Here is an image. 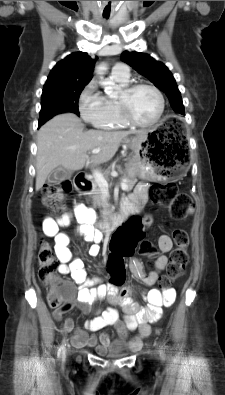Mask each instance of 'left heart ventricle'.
I'll list each match as a JSON object with an SVG mask.
<instances>
[{"label":"left heart ventricle","instance_id":"left-heart-ventricle-1","mask_svg":"<svg viewBox=\"0 0 225 395\" xmlns=\"http://www.w3.org/2000/svg\"><path fill=\"white\" fill-rule=\"evenodd\" d=\"M129 110L136 121L142 123L151 122L159 111L158 98L150 89H138L129 100Z\"/></svg>","mask_w":225,"mask_h":395}]
</instances>
